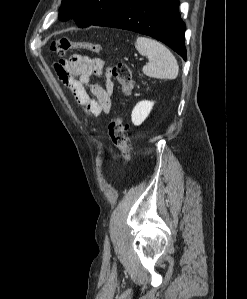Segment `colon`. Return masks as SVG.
Instances as JSON below:
<instances>
[{"label":"colon","mask_w":247,"mask_h":299,"mask_svg":"<svg viewBox=\"0 0 247 299\" xmlns=\"http://www.w3.org/2000/svg\"><path fill=\"white\" fill-rule=\"evenodd\" d=\"M72 49H82L95 54L103 52V48L99 44L69 37L55 39L50 43V50L58 55H64ZM110 74L119 83L122 95L124 97L130 96L134 82L129 66L123 62H119L112 68ZM128 131L129 125L122 113L115 115L108 125V133L112 144L120 150L122 157L129 162L132 158V151Z\"/></svg>","instance_id":"colon-1"}]
</instances>
